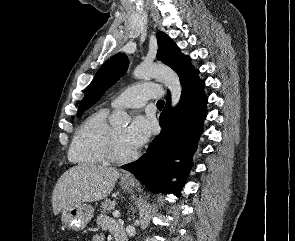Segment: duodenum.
<instances>
[{
    "label": "duodenum",
    "mask_w": 295,
    "mask_h": 241,
    "mask_svg": "<svg viewBox=\"0 0 295 241\" xmlns=\"http://www.w3.org/2000/svg\"><path fill=\"white\" fill-rule=\"evenodd\" d=\"M116 241H126L125 235L124 234H118L116 236Z\"/></svg>",
    "instance_id": "obj_1"
}]
</instances>
